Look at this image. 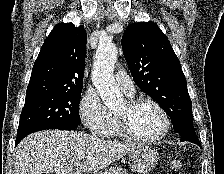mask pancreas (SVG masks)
<instances>
[{
    "label": "pancreas",
    "mask_w": 224,
    "mask_h": 174,
    "mask_svg": "<svg viewBox=\"0 0 224 174\" xmlns=\"http://www.w3.org/2000/svg\"><path fill=\"white\" fill-rule=\"evenodd\" d=\"M100 174H127L126 169L121 166H112L109 169H105Z\"/></svg>",
    "instance_id": "1"
}]
</instances>
